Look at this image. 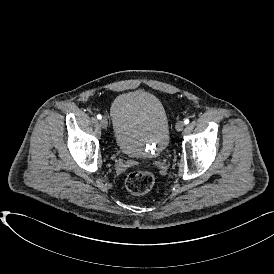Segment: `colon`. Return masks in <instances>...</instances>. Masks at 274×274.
I'll use <instances>...</instances> for the list:
<instances>
[{
  "label": "colon",
  "mask_w": 274,
  "mask_h": 274,
  "mask_svg": "<svg viewBox=\"0 0 274 274\" xmlns=\"http://www.w3.org/2000/svg\"><path fill=\"white\" fill-rule=\"evenodd\" d=\"M125 184L131 193L144 195L154 187L155 178L148 171L136 170L126 177Z\"/></svg>",
  "instance_id": "obj_1"
}]
</instances>
